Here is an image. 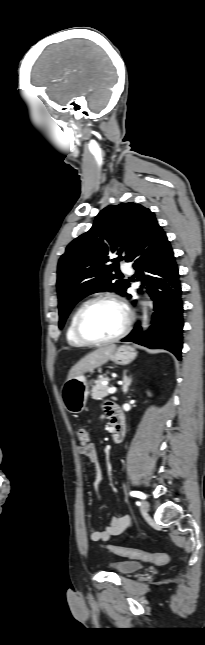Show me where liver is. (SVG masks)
Instances as JSON below:
<instances>
[{"mask_svg": "<svg viewBox=\"0 0 205 645\" xmlns=\"http://www.w3.org/2000/svg\"><path fill=\"white\" fill-rule=\"evenodd\" d=\"M115 350V345H108L87 354L71 368L67 379L83 375L85 372H92L94 369L101 367L108 362Z\"/></svg>", "mask_w": 205, "mask_h": 645, "instance_id": "1", "label": "liver"}]
</instances>
